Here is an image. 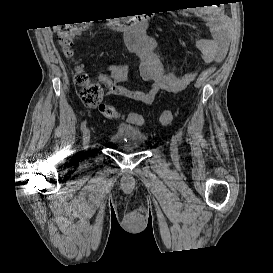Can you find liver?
<instances>
[{
	"label": "liver",
	"instance_id": "1",
	"mask_svg": "<svg viewBox=\"0 0 273 273\" xmlns=\"http://www.w3.org/2000/svg\"><path fill=\"white\" fill-rule=\"evenodd\" d=\"M60 26L58 25V26H55L54 27V30H59L60 28H59Z\"/></svg>",
	"mask_w": 273,
	"mask_h": 273
}]
</instances>
